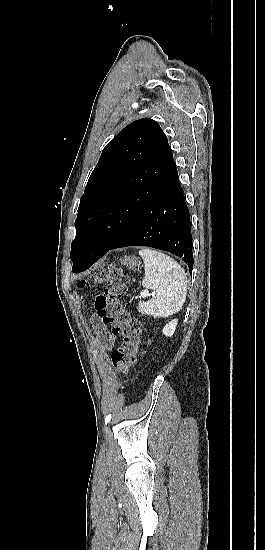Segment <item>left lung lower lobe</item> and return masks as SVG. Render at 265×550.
I'll return each mask as SVG.
<instances>
[{"label":"left lung lower lobe","instance_id":"obj_1","mask_svg":"<svg viewBox=\"0 0 265 550\" xmlns=\"http://www.w3.org/2000/svg\"><path fill=\"white\" fill-rule=\"evenodd\" d=\"M190 215L178 174L167 189L133 222L106 251L89 253L74 273L85 271L109 250L126 246H149L183 259L192 272L193 243Z\"/></svg>","mask_w":265,"mask_h":550}]
</instances>
